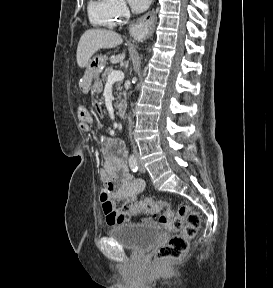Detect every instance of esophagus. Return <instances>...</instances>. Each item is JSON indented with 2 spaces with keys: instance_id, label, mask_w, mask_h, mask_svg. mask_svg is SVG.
Wrapping results in <instances>:
<instances>
[{
  "instance_id": "obj_1",
  "label": "esophagus",
  "mask_w": 273,
  "mask_h": 288,
  "mask_svg": "<svg viewBox=\"0 0 273 288\" xmlns=\"http://www.w3.org/2000/svg\"><path fill=\"white\" fill-rule=\"evenodd\" d=\"M156 23L155 10L152 9L140 17L130 28V34L135 39H142L145 35L154 31Z\"/></svg>"
}]
</instances>
